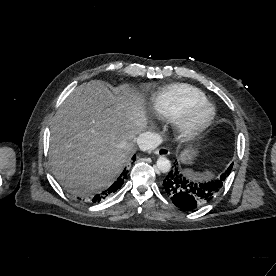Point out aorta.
Segmentation results:
<instances>
[{
	"instance_id": "obj_1",
	"label": "aorta",
	"mask_w": 276,
	"mask_h": 276,
	"mask_svg": "<svg viewBox=\"0 0 276 276\" xmlns=\"http://www.w3.org/2000/svg\"><path fill=\"white\" fill-rule=\"evenodd\" d=\"M157 168L162 173H167L171 169V162L164 156H160L156 162Z\"/></svg>"
}]
</instances>
